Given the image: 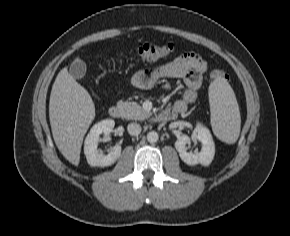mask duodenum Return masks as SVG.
I'll return each mask as SVG.
<instances>
[{
  "label": "duodenum",
  "mask_w": 290,
  "mask_h": 236,
  "mask_svg": "<svg viewBox=\"0 0 290 236\" xmlns=\"http://www.w3.org/2000/svg\"><path fill=\"white\" fill-rule=\"evenodd\" d=\"M183 111L185 110H180L177 108H166L160 112V114L158 115V119L163 122L171 121L174 120L177 115ZM108 114L110 117L118 119L122 116V110L119 106L113 105L109 108Z\"/></svg>",
  "instance_id": "obj_1"
}]
</instances>
